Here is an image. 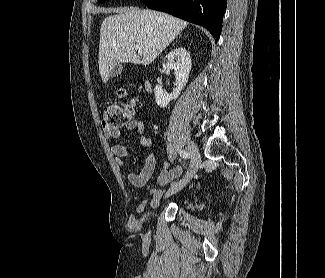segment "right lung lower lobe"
<instances>
[{
  "label": "right lung lower lobe",
  "instance_id": "obj_1",
  "mask_svg": "<svg viewBox=\"0 0 325 278\" xmlns=\"http://www.w3.org/2000/svg\"><path fill=\"white\" fill-rule=\"evenodd\" d=\"M149 8L205 27L215 38L220 37L226 0H140Z\"/></svg>",
  "mask_w": 325,
  "mask_h": 278
}]
</instances>
